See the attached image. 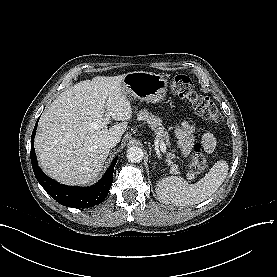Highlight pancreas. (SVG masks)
<instances>
[{"mask_svg":"<svg viewBox=\"0 0 277 277\" xmlns=\"http://www.w3.org/2000/svg\"><path fill=\"white\" fill-rule=\"evenodd\" d=\"M137 118L143 120L149 124L152 130L156 133L160 141H163L168 147L171 143L169 140V134L165 131L162 121L158 116L153 115L151 112H148L147 109H142L137 113ZM167 164L170 166V172L173 174L179 173V166L173 160L175 159L174 151L166 154Z\"/></svg>","mask_w":277,"mask_h":277,"instance_id":"obj_1","label":"pancreas"}]
</instances>
